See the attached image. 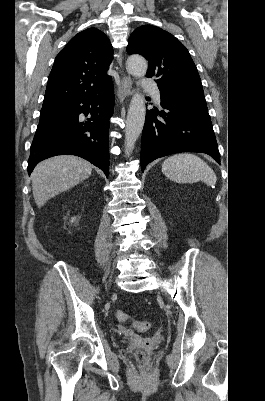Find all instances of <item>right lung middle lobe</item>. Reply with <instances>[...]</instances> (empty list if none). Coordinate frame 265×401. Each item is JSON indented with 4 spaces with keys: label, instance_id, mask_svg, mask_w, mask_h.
I'll list each match as a JSON object with an SVG mask.
<instances>
[{
    "label": "right lung middle lobe",
    "instance_id": "dd1d6c3e",
    "mask_svg": "<svg viewBox=\"0 0 265 401\" xmlns=\"http://www.w3.org/2000/svg\"><path fill=\"white\" fill-rule=\"evenodd\" d=\"M67 105V103H64V104H55V105H50V106H45V107H42V109H41V112L42 111H45V110H47V109H52V108H61V107H64V106H66Z\"/></svg>",
    "mask_w": 265,
    "mask_h": 401
}]
</instances>
